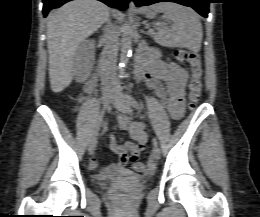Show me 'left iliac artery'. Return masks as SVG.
Returning <instances> with one entry per match:
<instances>
[{"label": "left iliac artery", "mask_w": 260, "mask_h": 217, "mask_svg": "<svg viewBox=\"0 0 260 217\" xmlns=\"http://www.w3.org/2000/svg\"><path fill=\"white\" fill-rule=\"evenodd\" d=\"M127 97H128V99H129L130 104H131L134 108H136L138 111H141V106L139 105V103H138L132 96L127 95ZM152 141H153V144H154L155 146H157L158 142H157V139H156L155 137L152 139Z\"/></svg>", "instance_id": "obj_1"}]
</instances>
